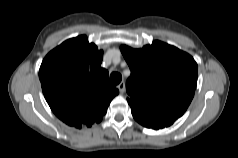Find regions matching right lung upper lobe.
Returning a JSON list of instances; mask_svg holds the SVG:
<instances>
[{"label": "right lung upper lobe", "instance_id": "obj_1", "mask_svg": "<svg viewBox=\"0 0 238 158\" xmlns=\"http://www.w3.org/2000/svg\"><path fill=\"white\" fill-rule=\"evenodd\" d=\"M103 51L85 35L66 40L50 51L39 79L47 103L63 122L76 128L100 122L119 93L101 68Z\"/></svg>", "mask_w": 238, "mask_h": 158}]
</instances>
